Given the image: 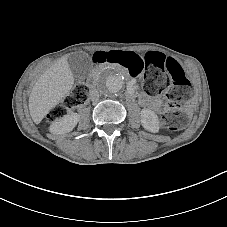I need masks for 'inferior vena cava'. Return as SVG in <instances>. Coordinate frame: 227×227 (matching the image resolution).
Listing matches in <instances>:
<instances>
[{
	"label": "inferior vena cava",
	"instance_id": "obj_1",
	"mask_svg": "<svg viewBox=\"0 0 227 227\" xmlns=\"http://www.w3.org/2000/svg\"><path fill=\"white\" fill-rule=\"evenodd\" d=\"M89 95L91 101L97 102L99 100V91L97 89H91Z\"/></svg>",
	"mask_w": 227,
	"mask_h": 227
}]
</instances>
